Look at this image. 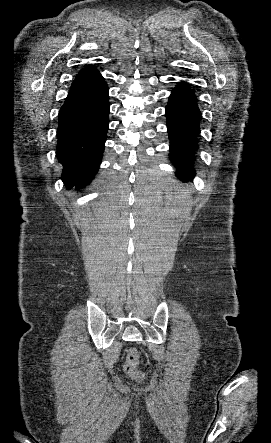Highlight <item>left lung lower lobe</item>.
Returning a JSON list of instances; mask_svg holds the SVG:
<instances>
[{"label": "left lung lower lobe", "mask_w": 271, "mask_h": 443, "mask_svg": "<svg viewBox=\"0 0 271 443\" xmlns=\"http://www.w3.org/2000/svg\"><path fill=\"white\" fill-rule=\"evenodd\" d=\"M197 101L190 85L182 81L172 90L166 106L169 157L177 167V176L183 180H190L196 175L193 163L202 119Z\"/></svg>", "instance_id": "1"}]
</instances>
